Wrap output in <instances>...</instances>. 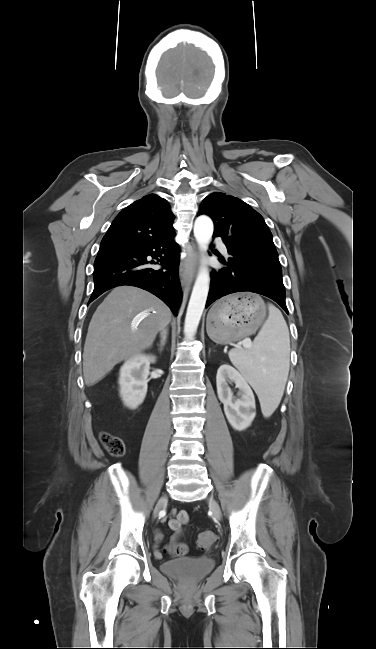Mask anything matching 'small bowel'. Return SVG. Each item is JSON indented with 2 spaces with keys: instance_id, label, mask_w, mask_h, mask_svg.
<instances>
[{
  "instance_id": "c3829d8e",
  "label": "small bowel",
  "mask_w": 376,
  "mask_h": 649,
  "mask_svg": "<svg viewBox=\"0 0 376 649\" xmlns=\"http://www.w3.org/2000/svg\"><path fill=\"white\" fill-rule=\"evenodd\" d=\"M188 521H189V516H188L187 512L185 510H176V509L172 511L171 517L168 520L169 527L173 531H175L177 533L172 538V541H171V544H170V551L175 556H181L186 551V548H185V551L177 552V551L174 550V548H176L178 545H180L179 544V539L181 537V528H182L183 525L187 524ZM162 538H163V534L160 531H157L156 534H155L156 541L161 542ZM155 556L157 558H161L162 554H161L160 551L157 550L155 552Z\"/></svg>"
}]
</instances>
